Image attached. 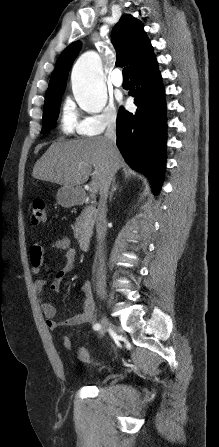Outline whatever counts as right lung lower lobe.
I'll list each match as a JSON object with an SVG mask.
<instances>
[{
    "mask_svg": "<svg viewBox=\"0 0 219 447\" xmlns=\"http://www.w3.org/2000/svg\"><path fill=\"white\" fill-rule=\"evenodd\" d=\"M130 78L129 95L138 109L133 114L120 108L116 144L126 162L148 177L156 195L163 181L167 128L165 89L156 58Z\"/></svg>",
    "mask_w": 219,
    "mask_h": 447,
    "instance_id": "right-lung-lower-lobe-1",
    "label": "right lung lower lobe"
}]
</instances>
